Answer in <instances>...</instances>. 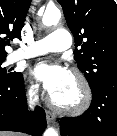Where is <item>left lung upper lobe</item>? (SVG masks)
Returning a JSON list of instances; mask_svg holds the SVG:
<instances>
[{
    "label": "left lung upper lobe",
    "mask_w": 117,
    "mask_h": 136,
    "mask_svg": "<svg viewBox=\"0 0 117 136\" xmlns=\"http://www.w3.org/2000/svg\"><path fill=\"white\" fill-rule=\"evenodd\" d=\"M75 38L74 59L95 90L117 77V4L114 0H57Z\"/></svg>",
    "instance_id": "5c2ea615"
}]
</instances>
